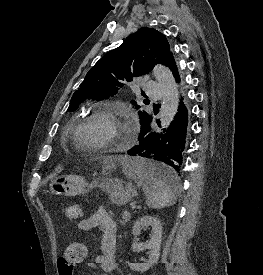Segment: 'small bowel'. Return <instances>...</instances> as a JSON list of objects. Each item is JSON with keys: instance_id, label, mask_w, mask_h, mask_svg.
I'll return each instance as SVG.
<instances>
[{"instance_id": "c3829d8e", "label": "small bowel", "mask_w": 263, "mask_h": 275, "mask_svg": "<svg viewBox=\"0 0 263 275\" xmlns=\"http://www.w3.org/2000/svg\"><path fill=\"white\" fill-rule=\"evenodd\" d=\"M78 228L82 231H89L98 228L101 231L100 253L94 262L88 263L90 269L100 266L104 273H111L116 266V235L117 225L105 208H98L90 216L78 223ZM59 274L60 272L58 268Z\"/></svg>"}]
</instances>
